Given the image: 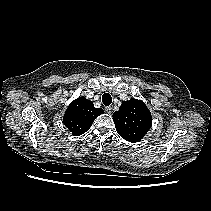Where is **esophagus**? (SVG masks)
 <instances>
[{
  "instance_id": "1",
  "label": "esophagus",
  "mask_w": 211,
  "mask_h": 211,
  "mask_svg": "<svg viewBox=\"0 0 211 211\" xmlns=\"http://www.w3.org/2000/svg\"><path fill=\"white\" fill-rule=\"evenodd\" d=\"M105 112L108 114H111V112H112L111 107L110 106L105 107Z\"/></svg>"
}]
</instances>
